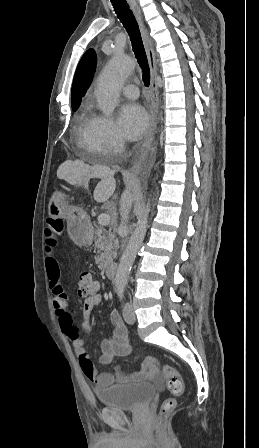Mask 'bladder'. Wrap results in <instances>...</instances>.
Wrapping results in <instances>:
<instances>
[{
  "mask_svg": "<svg viewBox=\"0 0 259 448\" xmlns=\"http://www.w3.org/2000/svg\"><path fill=\"white\" fill-rule=\"evenodd\" d=\"M154 394L155 387L151 383H121L95 390V396L102 405L121 410L140 409Z\"/></svg>",
  "mask_w": 259,
  "mask_h": 448,
  "instance_id": "1",
  "label": "bladder"
}]
</instances>
